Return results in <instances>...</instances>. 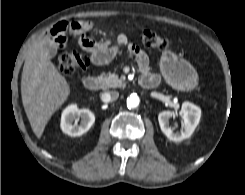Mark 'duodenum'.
I'll return each mask as SVG.
<instances>
[{
	"instance_id": "duodenum-1",
	"label": "duodenum",
	"mask_w": 245,
	"mask_h": 195,
	"mask_svg": "<svg viewBox=\"0 0 245 195\" xmlns=\"http://www.w3.org/2000/svg\"><path fill=\"white\" fill-rule=\"evenodd\" d=\"M139 83L146 89H153L158 86L159 79L151 74L142 73L139 78ZM84 86L90 91H96L100 88L101 81L98 77L90 75L84 79Z\"/></svg>"
}]
</instances>
